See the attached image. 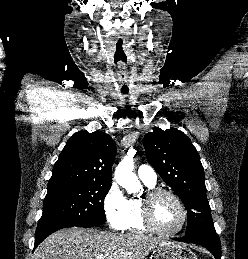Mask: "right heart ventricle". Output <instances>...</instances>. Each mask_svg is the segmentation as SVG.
Returning <instances> with one entry per match:
<instances>
[{
	"instance_id": "1",
	"label": "right heart ventricle",
	"mask_w": 248,
	"mask_h": 259,
	"mask_svg": "<svg viewBox=\"0 0 248 259\" xmlns=\"http://www.w3.org/2000/svg\"><path fill=\"white\" fill-rule=\"evenodd\" d=\"M145 185L149 189H152L155 186L147 183H145ZM123 230H127L130 232H137V233H142L149 230L142 218V208H141L140 198H131L128 200V211H127L125 226Z\"/></svg>"
}]
</instances>
